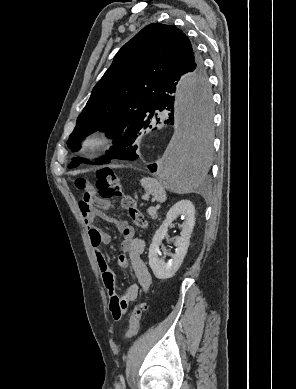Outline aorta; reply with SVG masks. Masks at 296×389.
Wrapping results in <instances>:
<instances>
[{"instance_id":"1","label":"aorta","mask_w":296,"mask_h":389,"mask_svg":"<svg viewBox=\"0 0 296 389\" xmlns=\"http://www.w3.org/2000/svg\"><path fill=\"white\" fill-rule=\"evenodd\" d=\"M175 126L158 172L174 189H198L213 161V95L202 72H187L175 83Z\"/></svg>"}]
</instances>
